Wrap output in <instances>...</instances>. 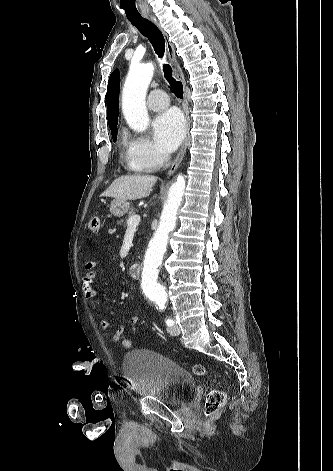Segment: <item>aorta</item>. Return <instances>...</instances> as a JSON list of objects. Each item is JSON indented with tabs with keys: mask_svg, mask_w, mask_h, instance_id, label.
<instances>
[{
	"mask_svg": "<svg viewBox=\"0 0 333 471\" xmlns=\"http://www.w3.org/2000/svg\"><path fill=\"white\" fill-rule=\"evenodd\" d=\"M154 74V64L132 65L122 91V111L129 127L136 132H144L149 126V116L145 98ZM185 190V179L178 175L171 185L168 199L161 213L160 222L149 242L144 257L142 283L147 295L160 307L167 302V292L158 281V268L166 251L169 233L176 226V214Z\"/></svg>",
	"mask_w": 333,
	"mask_h": 471,
	"instance_id": "762f6f07",
	"label": "aorta"
}]
</instances>
